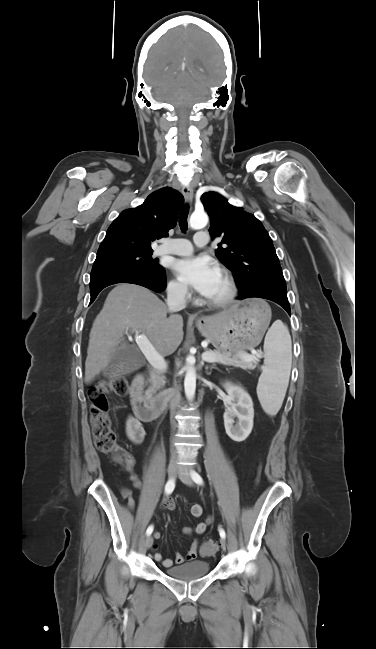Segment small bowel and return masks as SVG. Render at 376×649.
Wrapping results in <instances>:
<instances>
[{
	"label": "small bowel",
	"mask_w": 376,
	"mask_h": 649,
	"mask_svg": "<svg viewBox=\"0 0 376 649\" xmlns=\"http://www.w3.org/2000/svg\"><path fill=\"white\" fill-rule=\"evenodd\" d=\"M125 434L129 441H131L133 444H139L145 435L144 428L141 424V422L136 419L134 416H128L126 421H125ZM130 476L129 479L132 482L133 486L137 489L141 488V481L139 480L138 476L133 472V469L129 472ZM120 496L123 500L127 501L128 507L133 510L135 508V500L132 497V492L130 489L126 487H122L120 489ZM163 507L167 510H173L175 508V501L168 497L164 500L163 502ZM203 509L200 505L195 504L191 507V515L195 518H198L202 515ZM213 522V517L208 516L204 521L197 523L193 527H185L183 529V533L186 535L190 534H196V535H201L205 532L207 527ZM161 537L160 532L156 531L154 533V538L159 539ZM198 547H199V542L195 540L191 546L189 551L185 556H183L180 552H177L175 554L174 559L171 558H163V556L159 552L154 553V559L161 563L163 567L169 568L172 567L174 564H182L184 561H192L197 557L198 554ZM154 549H157V546H154Z\"/></svg>",
	"instance_id": "obj_1"
}]
</instances>
